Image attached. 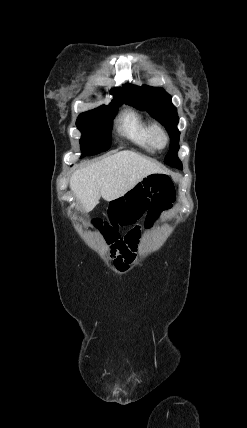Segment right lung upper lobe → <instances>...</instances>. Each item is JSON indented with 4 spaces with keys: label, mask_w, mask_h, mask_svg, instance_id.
Segmentation results:
<instances>
[{
    "label": "right lung upper lobe",
    "mask_w": 247,
    "mask_h": 428,
    "mask_svg": "<svg viewBox=\"0 0 247 428\" xmlns=\"http://www.w3.org/2000/svg\"><path fill=\"white\" fill-rule=\"evenodd\" d=\"M111 93L113 94L114 99L111 101L110 105L123 103L124 95L122 93L121 88H116V89L112 90Z\"/></svg>",
    "instance_id": "right-lung-upper-lobe-1"
}]
</instances>
